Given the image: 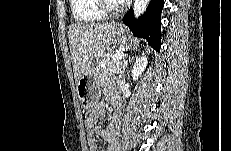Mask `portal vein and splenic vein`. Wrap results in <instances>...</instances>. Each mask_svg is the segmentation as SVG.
Wrapping results in <instances>:
<instances>
[{
	"mask_svg": "<svg viewBox=\"0 0 231 151\" xmlns=\"http://www.w3.org/2000/svg\"><path fill=\"white\" fill-rule=\"evenodd\" d=\"M123 57H124L123 53H117V54H114L113 56H111V59L115 61V60L122 59Z\"/></svg>",
	"mask_w": 231,
	"mask_h": 151,
	"instance_id": "portal-vein-and-splenic-vein-1",
	"label": "portal vein and splenic vein"
}]
</instances>
